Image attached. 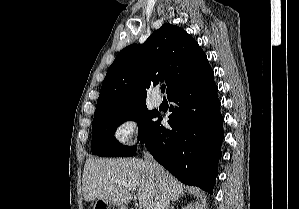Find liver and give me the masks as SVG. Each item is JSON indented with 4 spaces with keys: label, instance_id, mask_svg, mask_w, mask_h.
Listing matches in <instances>:
<instances>
[{
    "label": "liver",
    "instance_id": "liver-1",
    "mask_svg": "<svg viewBox=\"0 0 299 209\" xmlns=\"http://www.w3.org/2000/svg\"><path fill=\"white\" fill-rule=\"evenodd\" d=\"M162 169V180L170 200H178L179 195L184 194V190L201 198L204 196L203 191L199 189L192 191L164 168ZM117 181H124L128 185L138 188L137 196L140 208L154 209L159 194V180L149 164L137 158L87 159L82 179L84 199L90 202L97 198L113 205L125 206L133 197L129 189L119 185Z\"/></svg>",
    "mask_w": 299,
    "mask_h": 209
}]
</instances>
